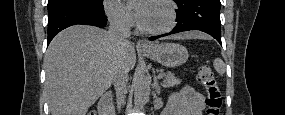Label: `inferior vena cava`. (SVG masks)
<instances>
[{"label":"inferior vena cava","instance_id":"1","mask_svg":"<svg viewBox=\"0 0 285 115\" xmlns=\"http://www.w3.org/2000/svg\"><path fill=\"white\" fill-rule=\"evenodd\" d=\"M130 23L121 16H115L110 19V25L108 30V35L110 40L123 48L128 43V38L130 37ZM112 81L117 94V105L116 110H119L120 114L124 113L123 107L129 91L127 90L128 82V71L123 63V61H118L112 72Z\"/></svg>","mask_w":285,"mask_h":115}]
</instances>
